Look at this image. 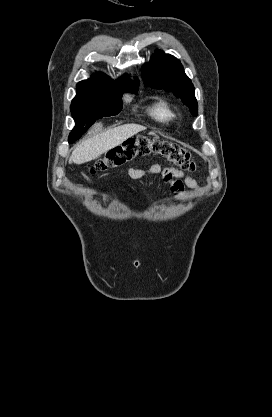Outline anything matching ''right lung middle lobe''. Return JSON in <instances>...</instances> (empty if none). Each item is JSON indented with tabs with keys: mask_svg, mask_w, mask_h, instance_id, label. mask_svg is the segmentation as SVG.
<instances>
[{
	"mask_svg": "<svg viewBox=\"0 0 272 417\" xmlns=\"http://www.w3.org/2000/svg\"><path fill=\"white\" fill-rule=\"evenodd\" d=\"M138 88L128 91L137 94ZM122 94H94L83 101L72 102L70 109L75 120V127L69 135V143H73L102 116L118 114L122 109Z\"/></svg>",
	"mask_w": 272,
	"mask_h": 417,
	"instance_id": "obj_1",
	"label": "right lung middle lobe"
}]
</instances>
